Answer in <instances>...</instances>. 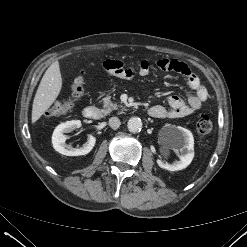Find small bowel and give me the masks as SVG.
<instances>
[{"label": "small bowel", "instance_id": "obj_1", "mask_svg": "<svg viewBox=\"0 0 247 247\" xmlns=\"http://www.w3.org/2000/svg\"><path fill=\"white\" fill-rule=\"evenodd\" d=\"M154 65L160 70L173 71L183 75L190 91L187 93L186 101L179 96L173 95L167 100L168 107L162 105L152 106L149 109L150 116L158 119L181 118L200 109L208 97V92L199 77L190 70L187 64L177 59H159ZM103 66L107 73L121 79H131L136 74L147 76L151 71V64L147 60L141 61L137 69L126 67L121 61L114 59L106 60Z\"/></svg>", "mask_w": 247, "mask_h": 247}]
</instances>
